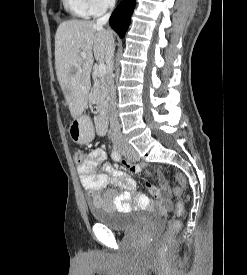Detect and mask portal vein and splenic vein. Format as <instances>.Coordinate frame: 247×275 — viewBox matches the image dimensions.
<instances>
[{"mask_svg": "<svg viewBox=\"0 0 247 275\" xmlns=\"http://www.w3.org/2000/svg\"><path fill=\"white\" fill-rule=\"evenodd\" d=\"M81 56H82L83 58H85V57H86V53H85V52H82V53H81ZM106 72H107V69H106L105 64H99V65H98V68H97V75H98V77L104 76V75L106 74Z\"/></svg>", "mask_w": 247, "mask_h": 275, "instance_id": "1", "label": "portal vein and splenic vein"}]
</instances>
